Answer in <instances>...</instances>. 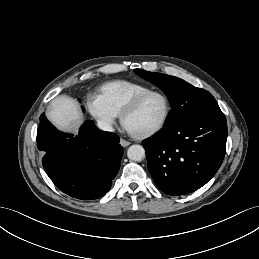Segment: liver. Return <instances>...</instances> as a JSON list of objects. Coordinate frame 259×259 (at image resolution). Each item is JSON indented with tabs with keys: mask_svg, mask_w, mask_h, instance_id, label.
I'll use <instances>...</instances> for the list:
<instances>
[{
	"mask_svg": "<svg viewBox=\"0 0 259 259\" xmlns=\"http://www.w3.org/2000/svg\"><path fill=\"white\" fill-rule=\"evenodd\" d=\"M47 117L58 129L64 131L77 129L83 121L78 105L68 96L52 100Z\"/></svg>",
	"mask_w": 259,
	"mask_h": 259,
	"instance_id": "6515ba94",
	"label": "liver"
}]
</instances>
